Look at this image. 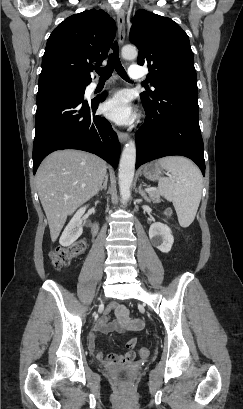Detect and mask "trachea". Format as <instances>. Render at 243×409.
<instances>
[{
  "instance_id": "1",
  "label": "trachea",
  "mask_w": 243,
  "mask_h": 409,
  "mask_svg": "<svg viewBox=\"0 0 243 409\" xmlns=\"http://www.w3.org/2000/svg\"><path fill=\"white\" fill-rule=\"evenodd\" d=\"M116 70L119 76L124 80H130L126 74L125 69L121 65L119 59V47L117 41L114 42L112 46V52L109 54L108 63L103 68H96V72L100 76V80H107L112 75L113 70Z\"/></svg>"
}]
</instances>
